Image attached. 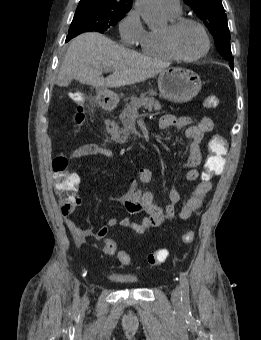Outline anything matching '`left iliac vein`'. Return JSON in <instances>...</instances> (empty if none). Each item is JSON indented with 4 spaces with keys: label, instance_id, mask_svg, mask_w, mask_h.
Segmentation results:
<instances>
[{
    "label": "left iliac vein",
    "instance_id": "obj_1",
    "mask_svg": "<svg viewBox=\"0 0 261 340\" xmlns=\"http://www.w3.org/2000/svg\"><path fill=\"white\" fill-rule=\"evenodd\" d=\"M171 299L174 303H178L181 300V289L179 286H177L171 294Z\"/></svg>",
    "mask_w": 261,
    "mask_h": 340
}]
</instances>
